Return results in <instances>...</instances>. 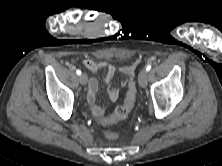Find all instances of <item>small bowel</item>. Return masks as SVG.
I'll return each instance as SVG.
<instances>
[{"mask_svg":"<svg viewBox=\"0 0 222 166\" xmlns=\"http://www.w3.org/2000/svg\"><path fill=\"white\" fill-rule=\"evenodd\" d=\"M139 64V60L135 61L130 65H125L119 68V71L126 77V79L122 82V86H125L127 82H129L134 77V72ZM83 65L92 71L93 73H97L100 70H105V82L109 85L108 89V97L110 102H116L119 97V88L115 87L112 84L113 76L117 71V68L109 64L107 62H96L91 59H86L83 61ZM99 88L98 80L94 77H91L88 82V93H87V101L91 108L93 115L100 120V122L104 119L107 106L99 104L97 102V92Z\"/></svg>","mask_w":222,"mask_h":166,"instance_id":"small-bowel-1","label":"small bowel"}]
</instances>
